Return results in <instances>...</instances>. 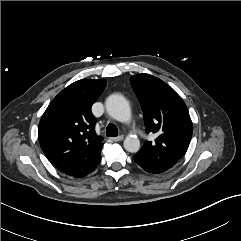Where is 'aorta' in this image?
<instances>
[{
	"mask_svg": "<svg viewBox=\"0 0 241 241\" xmlns=\"http://www.w3.org/2000/svg\"><path fill=\"white\" fill-rule=\"evenodd\" d=\"M107 113L117 121L128 122L131 119V109L128 101L119 94L110 95L105 102ZM126 151L136 153L140 149V141L137 136L129 135L124 140Z\"/></svg>",
	"mask_w": 241,
	"mask_h": 241,
	"instance_id": "aorta-1",
	"label": "aorta"
}]
</instances>
